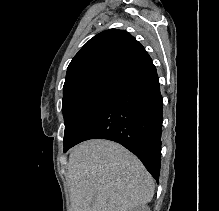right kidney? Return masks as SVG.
<instances>
[{"label":"right kidney","instance_id":"ca27d5eb","mask_svg":"<svg viewBox=\"0 0 219 211\" xmlns=\"http://www.w3.org/2000/svg\"><path fill=\"white\" fill-rule=\"evenodd\" d=\"M135 211H150V207L148 205H138Z\"/></svg>","mask_w":219,"mask_h":211}]
</instances>
